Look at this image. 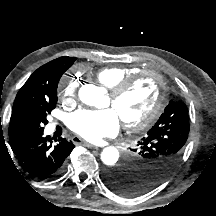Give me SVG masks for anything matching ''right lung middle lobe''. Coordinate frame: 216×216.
<instances>
[{
    "mask_svg": "<svg viewBox=\"0 0 216 216\" xmlns=\"http://www.w3.org/2000/svg\"><path fill=\"white\" fill-rule=\"evenodd\" d=\"M70 66L71 65L65 66L63 72H65ZM56 103L57 90L51 100H44L34 110L24 116L22 119V129L26 133L43 131V125L48 123L46 116L55 108Z\"/></svg>",
    "mask_w": 216,
    "mask_h": 216,
    "instance_id": "right-lung-middle-lobe-1",
    "label": "right lung middle lobe"
}]
</instances>
